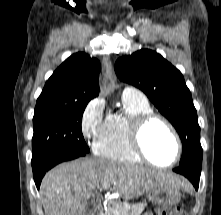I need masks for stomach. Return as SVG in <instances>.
<instances>
[{
  "label": "stomach",
  "instance_id": "stomach-1",
  "mask_svg": "<svg viewBox=\"0 0 221 215\" xmlns=\"http://www.w3.org/2000/svg\"><path fill=\"white\" fill-rule=\"evenodd\" d=\"M179 188L174 186H157L147 191V198L150 202L158 206H174L181 200Z\"/></svg>",
  "mask_w": 221,
  "mask_h": 215
}]
</instances>
